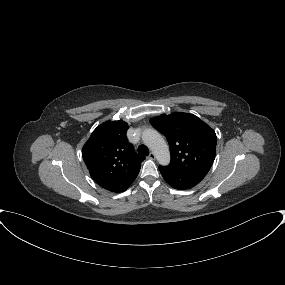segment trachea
<instances>
[{
	"mask_svg": "<svg viewBox=\"0 0 285 285\" xmlns=\"http://www.w3.org/2000/svg\"><path fill=\"white\" fill-rule=\"evenodd\" d=\"M138 154L140 156H148L149 155V150H148V148L146 146L140 145L138 147Z\"/></svg>",
	"mask_w": 285,
	"mask_h": 285,
	"instance_id": "3493384b",
	"label": "trachea"
}]
</instances>
